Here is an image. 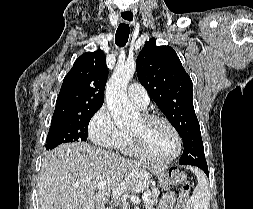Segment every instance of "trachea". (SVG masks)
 Listing matches in <instances>:
<instances>
[{"instance_id":"trachea-1","label":"trachea","mask_w":253,"mask_h":209,"mask_svg":"<svg viewBox=\"0 0 253 209\" xmlns=\"http://www.w3.org/2000/svg\"><path fill=\"white\" fill-rule=\"evenodd\" d=\"M129 33V25L126 23H120L115 34L116 45L124 47L128 41Z\"/></svg>"}]
</instances>
